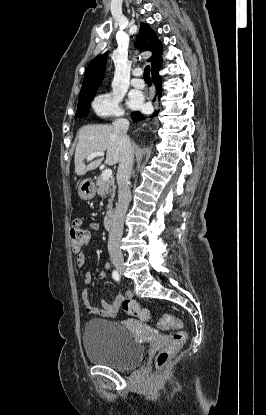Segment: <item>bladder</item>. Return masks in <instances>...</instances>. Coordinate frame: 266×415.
I'll use <instances>...</instances> for the list:
<instances>
[{
    "instance_id": "1",
    "label": "bladder",
    "mask_w": 266,
    "mask_h": 415,
    "mask_svg": "<svg viewBox=\"0 0 266 415\" xmlns=\"http://www.w3.org/2000/svg\"><path fill=\"white\" fill-rule=\"evenodd\" d=\"M82 342L87 358L98 365L118 370L137 366L144 347L122 324L105 319L86 322Z\"/></svg>"
}]
</instances>
